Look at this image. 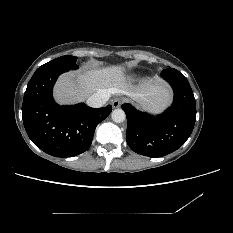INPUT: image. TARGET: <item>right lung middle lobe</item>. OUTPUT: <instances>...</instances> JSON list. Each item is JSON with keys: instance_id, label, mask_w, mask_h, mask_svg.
Listing matches in <instances>:
<instances>
[{"instance_id": "obj_1", "label": "right lung middle lobe", "mask_w": 233, "mask_h": 233, "mask_svg": "<svg viewBox=\"0 0 233 233\" xmlns=\"http://www.w3.org/2000/svg\"><path fill=\"white\" fill-rule=\"evenodd\" d=\"M76 61H77V57H75V56H69V55L61 56L59 58H56V59L40 66L36 70L35 73L50 71L53 69H63L65 71L74 70V69L78 68Z\"/></svg>"}]
</instances>
